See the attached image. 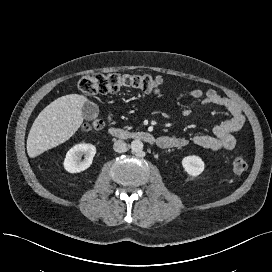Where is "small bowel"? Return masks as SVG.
Instances as JSON below:
<instances>
[{"instance_id":"small-bowel-1","label":"small bowel","mask_w":272,"mask_h":272,"mask_svg":"<svg viewBox=\"0 0 272 272\" xmlns=\"http://www.w3.org/2000/svg\"><path fill=\"white\" fill-rule=\"evenodd\" d=\"M190 95L204 106L215 105L225 109L230 114V118L217 124L213 128L212 134H198L192 138L163 135L158 137V145L165 149L180 148L188 144L211 150L234 149L237 146L235 133L242 129L246 123V117L240 106L233 100L220 95L214 89L204 92L199 88H193ZM192 112V108L186 107L182 110V115L189 117Z\"/></svg>"}]
</instances>
